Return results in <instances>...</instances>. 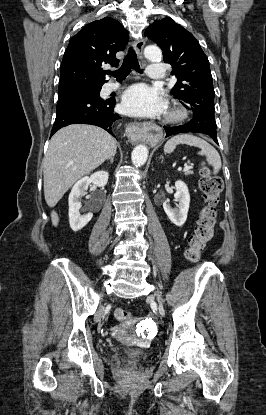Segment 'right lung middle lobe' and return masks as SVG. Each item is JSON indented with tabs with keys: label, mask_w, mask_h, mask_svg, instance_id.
<instances>
[{
	"label": "right lung middle lobe",
	"mask_w": 266,
	"mask_h": 415,
	"mask_svg": "<svg viewBox=\"0 0 266 415\" xmlns=\"http://www.w3.org/2000/svg\"><path fill=\"white\" fill-rule=\"evenodd\" d=\"M101 90V87H94V88H87V89H81L76 90L64 94H59V98L63 97H72V96H94L99 95Z\"/></svg>",
	"instance_id": "1"
}]
</instances>
